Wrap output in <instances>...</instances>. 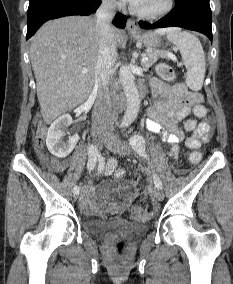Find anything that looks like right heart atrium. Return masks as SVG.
I'll return each instance as SVG.
<instances>
[{
  "label": "right heart atrium",
  "instance_id": "1",
  "mask_svg": "<svg viewBox=\"0 0 233 284\" xmlns=\"http://www.w3.org/2000/svg\"><path fill=\"white\" fill-rule=\"evenodd\" d=\"M103 1L106 5L110 7H116L119 4L118 0H103Z\"/></svg>",
  "mask_w": 233,
  "mask_h": 284
}]
</instances>
